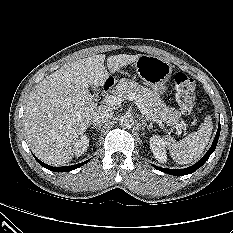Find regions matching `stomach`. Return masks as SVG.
Instances as JSON below:
<instances>
[{
  "mask_svg": "<svg viewBox=\"0 0 233 233\" xmlns=\"http://www.w3.org/2000/svg\"><path fill=\"white\" fill-rule=\"evenodd\" d=\"M138 76L158 95L166 92L172 74V65L167 60L152 55H141L135 62Z\"/></svg>",
  "mask_w": 233,
  "mask_h": 233,
  "instance_id": "obj_1",
  "label": "stomach"
}]
</instances>
